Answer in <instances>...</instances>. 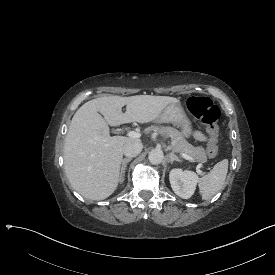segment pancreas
Returning a JSON list of instances; mask_svg holds the SVG:
<instances>
[{
    "instance_id": "cf45deb5",
    "label": "pancreas",
    "mask_w": 275,
    "mask_h": 275,
    "mask_svg": "<svg viewBox=\"0 0 275 275\" xmlns=\"http://www.w3.org/2000/svg\"><path fill=\"white\" fill-rule=\"evenodd\" d=\"M151 131L158 132L163 137H170L172 144L171 149L173 152L186 153L193 158V161H198L205 163L207 161V156L204 148L194 147L188 143L183 135L173 127H158L150 126L145 129V133H150Z\"/></svg>"
}]
</instances>
